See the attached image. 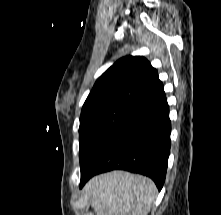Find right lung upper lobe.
Segmentation results:
<instances>
[{
    "label": "right lung upper lobe",
    "mask_w": 221,
    "mask_h": 215,
    "mask_svg": "<svg viewBox=\"0 0 221 215\" xmlns=\"http://www.w3.org/2000/svg\"><path fill=\"white\" fill-rule=\"evenodd\" d=\"M163 93V84L149 61L142 56H126L99 77L84 105L117 102L137 108Z\"/></svg>",
    "instance_id": "obj_1"
}]
</instances>
